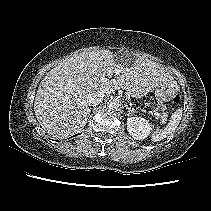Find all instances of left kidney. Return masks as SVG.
I'll use <instances>...</instances> for the list:
<instances>
[{
  "instance_id": "5707ae66",
  "label": "left kidney",
  "mask_w": 211,
  "mask_h": 211,
  "mask_svg": "<svg viewBox=\"0 0 211 211\" xmlns=\"http://www.w3.org/2000/svg\"><path fill=\"white\" fill-rule=\"evenodd\" d=\"M150 123L142 117H130L127 119V131L136 140L145 139L150 133Z\"/></svg>"
}]
</instances>
